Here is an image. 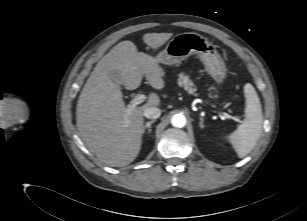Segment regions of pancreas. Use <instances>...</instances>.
Here are the masks:
<instances>
[{
    "instance_id": "cf45deb5",
    "label": "pancreas",
    "mask_w": 307,
    "mask_h": 221,
    "mask_svg": "<svg viewBox=\"0 0 307 221\" xmlns=\"http://www.w3.org/2000/svg\"><path fill=\"white\" fill-rule=\"evenodd\" d=\"M179 86H183L184 89L190 93L194 94L196 92V88L194 87L193 82L189 79L188 76L181 74L179 81H178Z\"/></svg>"
}]
</instances>
